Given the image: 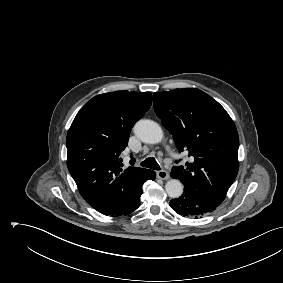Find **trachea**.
Returning a JSON list of instances; mask_svg holds the SVG:
<instances>
[{
	"instance_id": "1",
	"label": "trachea",
	"mask_w": 283,
	"mask_h": 283,
	"mask_svg": "<svg viewBox=\"0 0 283 283\" xmlns=\"http://www.w3.org/2000/svg\"><path fill=\"white\" fill-rule=\"evenodd\" d=\"M140 164H141L142 167L150 168V169H153V170H160L161 169L154 157L146 158Z\"/></svg>"
}]
</instances>
